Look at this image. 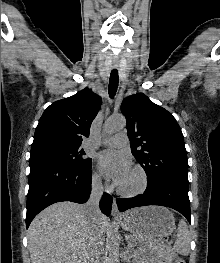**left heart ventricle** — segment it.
<instances>
[{
    "instance_id": "left-heart-ventricle-1",
    "label": "left heart ventricle",
    "mask_w": 220,
    "mask_h": 263,
    "mask_svg": "<svg viewBox=\"0 0 220 263\" xmlns=\"http://www.w3.org/2000/svg\"><path fill=\"white\" fill-rule=\"evenodd\" d=\"M140 183L141 178L139 173L131 169L118 186L125 190H134L140 186Z\"/></svg>"
}]
</instances>
